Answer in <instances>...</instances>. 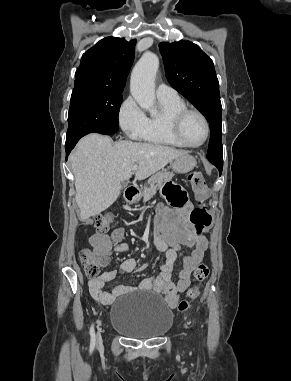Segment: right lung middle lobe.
<instances>
[{
  "instance_id": "obj_1",
  "label": "right lung middle lobe",
  "mask_w": 291,
  "mask_h": 381,
  "mask_svg": "<svg viewBox=\"0 0 291 381\" xmlns=\"http://www.w3.org/2000/svg\"><path fill=\"white\" fill-rule=\"evenodd\" d=\"M122 91L105 88H74L68 114L66 142L78 141L89 133L118 127Z\"/></svg>"
}]
</instances>
